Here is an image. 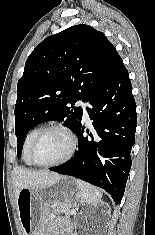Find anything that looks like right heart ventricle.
<instances>
[{"instance_id":"obj_1","label":"right heart ventricle","mask_w":155,"mask_h":235,"mask_svg":"<svg viewBox=\"0 0 155 235\" xmlns=\"http://www.w3.org/2000/svg\"><path fill=\"white\" fill-rule=\"evenodd\" d=\"M43 127L42 126H37L31 129L25 136L23 140V146H22V159L23 162L28 165L32 166V162L29 159V148L31 143L33 142L34 138L36 135L41 131Z\"/></svg>"}]
</instances>
